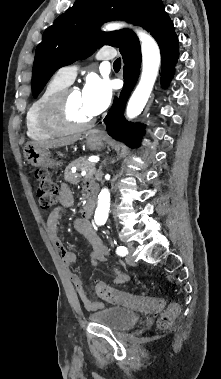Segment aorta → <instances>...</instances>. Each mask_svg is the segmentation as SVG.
<instances>
[{
  "instance_id": "aorta-1",
  "label": "aorta",
  "mask_w": 221,
  "mask_h": 379,
  "mask_svg": "<svg viewBox=\"0 0 221 379\" xmlns=\"http://www.w3.org/2000/svg\"><path fill=\"white\" fill-rule=\"evenodd\" d=\"M122 23H110L103 27L104 31L117 30L124 27ZM141 42L142 74L140 81L131 95L126 108L128 118L138 116L150 97L160 66V50L156 41L146 32L136 29ZM110 210V192L107 188L101 190L98 196V205L95 211V222L104 224Z\"/></svg>"
}]
</instances>
